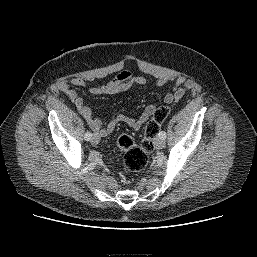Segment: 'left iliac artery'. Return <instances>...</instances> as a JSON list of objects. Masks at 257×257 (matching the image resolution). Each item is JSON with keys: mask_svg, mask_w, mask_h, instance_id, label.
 Here are the masks:
<instances>
[{"mask_svg": "<svg viewBox=\"0 0 257 257\" xmlns=\"http://www.w3.org/2000/svg\"><path fill=\"white\" fill-rule=\"evenodd\" d=\"M159 137L162 138V139H165L166 138V133L164 131H160L159 132Z\"/></svg>", "mask_w": 257, "mask_h": 257, "instance_id": "44dca946", "label": "left iliac artery"}]
</instances>
